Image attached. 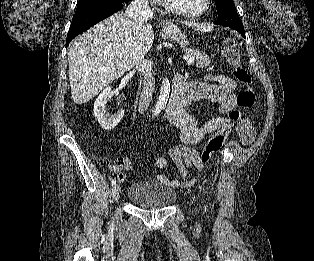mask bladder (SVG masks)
<instances>
[{"label": "bladder", "instance_id": "31cf9c89", "mask_svg": "<svg viewBox=\"0 0 314 261\" xmlns=\"http://www.w3.org/2000/svg\"><path fill=\"white\" fill-rule=\"evenodd\" d=\"M128 199L144 209H164L176 200V191L156 180L134 183L128 191Z\"/></svg>", "mask_w": 314, "mask_h": 261}]
</instances>
